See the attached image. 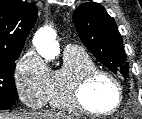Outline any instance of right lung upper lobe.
I'll return each instance as SVG.
<instances>
[{
    "label": "right lung upper lobe",
    "instance_id": "1",
    "mask_svg": "<svg viewBox=\"0 0 142 119\" xmlns=\"http://www.w3.org/2000/svg\"><path fill=\"white\" fill-rule=\"evenodd\" d=\"M38 15L35 4L0 0V55L20 53Z\"/></svg>",
    "mask_w": 142,
    "mask_h": 119
}]
</instances>
